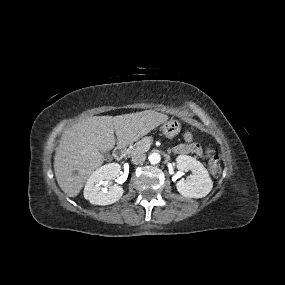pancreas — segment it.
I'll return each mask as SVG.
<instances>
[{
  "label": "pancreas",
  "instance_id": "pancreas-1",
  "mask_svg": "<svg viewBox=\"0 0 285 285\" xmlns=\"http://www.w3.org/2000/svg\"><path fill=\"white\" fill-rule=\"evenodd\" d=\"M153 141L152 137H145L142 140L135 143L128 149V154L134 156L136 154L145 153L149 150L150 144Z\"/></svg>",
  "mask_w": 285,
  "mask_h": 285
}]
</instances>
